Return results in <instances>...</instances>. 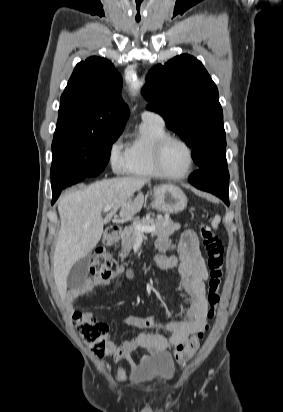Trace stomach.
<instances>
[{
	"label": "stomach",
	"instance_id": "0dacf381",
	"mask_svg": "<svg viewBox=\"0 0 283 412\" xmlns=\"http://www.w3.org/2000/svg\"><path fill=\"white\" fill-rule=\"evenodd\" d=\"M152 207L168 214H176L187 206L184 192L174 185H160L154 188Z\"/></svg>",
	"mask_w": 283,
	"mask_h": 412
}]
</instances>
